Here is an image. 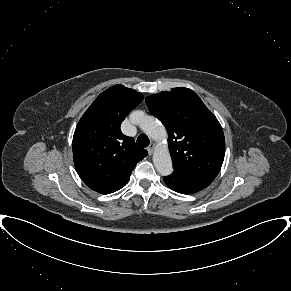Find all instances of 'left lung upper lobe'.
Instances as JSON below:
<instances>
[{
  "instance_id": "5c2ea615",
  "label": "left lung upper lobe",
  "mask_w": 291,
  "mask_h": 291,
  "mask_svg": "<svg viewBox=\"0 0 291 291\" xmlns=\"http://www.w3.org/2000/svg\"><path fill=\"white\" fill-rule=\"evenodd\" d=\"M146 104L168 131L174 170L215 178L224 160L225 138L199 96L180 87L148 96Z\"/></svg>"
}]
</instances>
